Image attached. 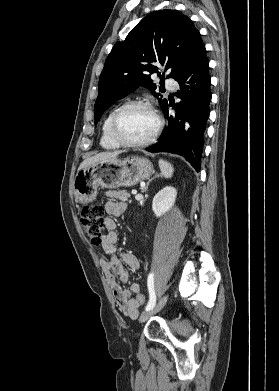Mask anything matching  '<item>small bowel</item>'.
Listing matches in <instances>:
<instances>
[{
	"label": "small bowel",
	"mask_w": 279,
	"mask_h": 391,
	"mask_svg": "<svg viewBox=\"0 0 279 391\" xmlns=\"http://www.w3.org/2000/svg\"><path fill=\"white\" fill-rule=\"evenodd\" d=\"M126 209V204L123 202L109 201L105 204V211L108 217L105 218L104 226L106 232L102 237V249L105 253L100 259V266L105 272L114 298L120 307L123 314L132 319L138 316L139 305L136 297L142 294L139 284L134 283L130 289H124L118 283L117 278L122 282H127L128 272L125 265L138 269L140 262L136 256L131 253L118 251L116 244L118 241V233L116 231V223L112 216L121 215ZM135 295V297H132Z\"/></svg>",
	"instance_id": "small-bowel-1"
}]
</instances>
